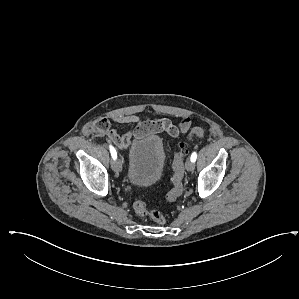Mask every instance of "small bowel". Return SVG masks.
<instances>
[{"mask_svg":"<svg viewBox=\"0 0 299 299\" xmlns=\"http://www.w3.org/2000/svg\"><path fill=\"white\" fill-rule=\"evenodd\" d=\"M113 121L120 124H126L133 129L125 134L120 135L115 128L108 127L105 131L110 142L121 150L129 147L132 137L141 138L145 135L164 131L171 137H178L180 134L186 133L192 125L190 117L182 118L178 123L169 120H160L155 122L141 123L136 115H115Z\"/></svg>","mask_w":299,"mask_h":299,"instance_id":"small-bowel-1","label":"small bowel"}]
</instances>
